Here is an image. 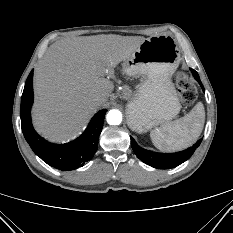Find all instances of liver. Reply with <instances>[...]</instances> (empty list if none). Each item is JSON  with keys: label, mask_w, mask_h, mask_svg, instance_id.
<instances>
[{"label": "liver", "mask_w": 233, "mask_h": 233, "mask_svg": "<svg viewBox=\"0 0 233 233\" xmlns=\"http://www.w3.org/2000/svg\"><path fill=\"white\" fill-rule=\"evenodd\" d=\"M142 36L102 34L56 41L34 71L32 119L45 138H75L112 94L105 75L114 72L144 42ZM98 95L102 99L96 100Z\"/></svg>", "instance_id": "obj_1"}]
</instances>
